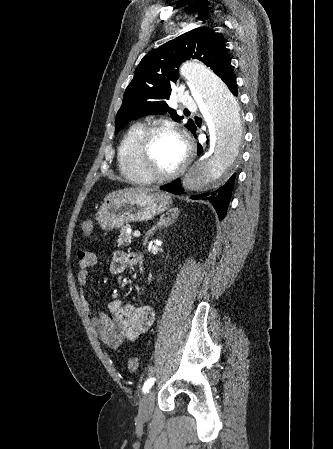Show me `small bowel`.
Wrapping results in <instances>:
<instances>
[{
    "label": "small bowel",
    "mask_w": 333,
    "mask_h": 449,
    "mask_svg": "<svg viewBox=\"0 0 333 449\" xmlns=\"http://www.w3.org/2000/svg\"><path fill=\"white\" fill-rule=\"evenodd\" d=\"M76 280L80 289V300L86 313L92 316V326L98 337L112 350L119 352L127 343L135 341L152 324L155 311L149 305H134L116 299L108 303V312L92 309L86 296L89 269L99 264L95 254L88 251L78 253ZM138 256L135 253L115 251L109 262L111 274H121L129 265H135Z\"/></svg>",
    "instance_id": "obj_1"
}]
</instances>
